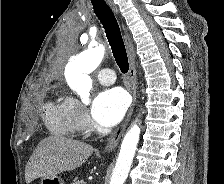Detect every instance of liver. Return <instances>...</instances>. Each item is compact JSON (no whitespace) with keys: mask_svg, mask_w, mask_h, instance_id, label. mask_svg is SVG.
<instances>
[{"mask_svg":"<svg viewBox=\"0 0 224 184\" xmlns=\"http://www.w3.org/2000/svg\"><path fill=\"white\" fill-rule=\"evenodd\" d=\"M93 153V147L62 136L43 139L33 151L26 168L27 184L39 177H54L80 167Z\"/></svg>","mask_w":224,"mask_h":184,"instance_id":"6515ba94","label":"liver"}]
</instances>
